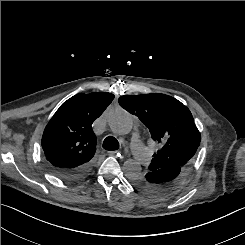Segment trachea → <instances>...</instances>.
Instances as JSON below:
<instances>
[{
  "mask_svg": "<svg viewBox=\"0 0 245 245\" xmlns=\"http://www.w3.org/2000/svg\"><path fill=\"white\" fill-rule=\"evenodd\" d=\"M103 148L105 150L114 151L119 149V142L113 136H108L103 141Z\"/></svg>",
  "mask_w": 245,
  "mask_h": 245,
  "instance_id": "3493384b",
  "label": "trachea"
}]
</instances>
